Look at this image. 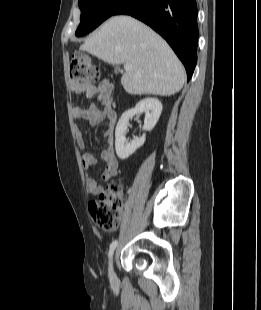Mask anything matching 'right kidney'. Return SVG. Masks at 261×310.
Masks as SVG:
<instances>
[{"label":"right kidney","instance_id":"ca27d5eb","mask_svg":"<svg viewBox=\"0 0 261 310\" xmlns=\"http://www.w3.org/2000/svg\"><path fill=\"white\" fill-rule=\"evenodd\" d=\"M142 112H145L143 130L150 131L159 120L162 104L156 98H145L138 102L134 108L121 115L115 130V149L117 156L122 160L131 156L145 142V133L140 138H135L130 142H127L125 137L129 119Z\"/></svg>","mask_w":261,"mask_h":310}]
</instances>
